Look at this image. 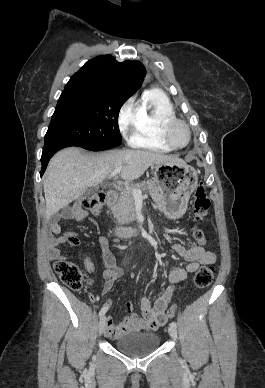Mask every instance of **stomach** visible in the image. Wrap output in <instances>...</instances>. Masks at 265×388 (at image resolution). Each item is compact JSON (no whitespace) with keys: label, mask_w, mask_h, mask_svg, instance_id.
Masks as SVG:
<instances>
[{"label":"stomach","mask_w":265,"mask_h":388,"mask_svg":"<svg viewBox=\"0 0 265 388\" xmlns=\"http://www.w3.org/2000/svg\"><path fill=\"white\" fill-rule=\"evenodd\" d=\"M154 180L165 196L167 215L175 218L183 215L198 185L195 169L186 163L161 162L155 165Z\"/></svg>","instance_id":"stomach-1"}]
</instances>
